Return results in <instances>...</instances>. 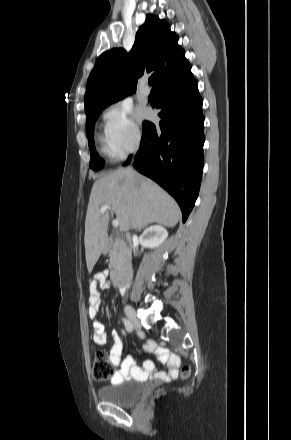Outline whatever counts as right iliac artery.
Here are the masks:
<instances>
[{
	"label": "right iliac artery",
	"mask_w": 291,
	"mask_h": 440,
	"mask_svg": "<svg viewBox=\"0 0 291 440\" xmlns=\"http://www.w3.org/2000/svg\"><path fill=\"white\" fill-rule=\"evenodd\" d=\"M122 320H123V323H124V326H125L126 330L128 332H132V330H133L132 323L129 320H127L126 318H123Z\"/></svg>",
	"instance_id": "82829eb1"
}]
</instances>
